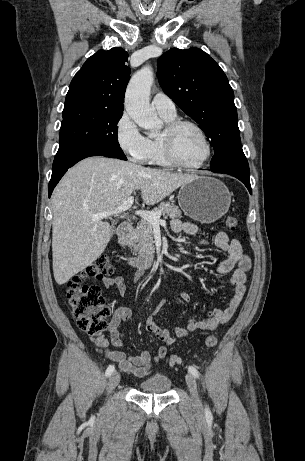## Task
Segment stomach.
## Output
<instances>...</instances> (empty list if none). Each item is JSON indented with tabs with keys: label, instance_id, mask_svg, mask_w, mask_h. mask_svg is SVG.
I'll return each instance as SVG.
<instances>
[{
	"label": "stomach",
	"instance_id": "1",
	"mask_svg": "<svg viewBox=\"0 0 305 461\" xmlns=\"http://www.w3.org/2000/svg\"><path fill=\"white\" fill-rule=\"evenodd\" d=\"M178 203L183 212L193 220L213 223L227 213L231 195L220 180L195 176L181 186Z\"/></svg>",
	"mask_w": 305,
	"mask_h": 461
}]
</instances>
